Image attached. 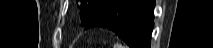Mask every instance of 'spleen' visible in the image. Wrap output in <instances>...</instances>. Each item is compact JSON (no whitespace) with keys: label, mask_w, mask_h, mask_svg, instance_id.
Instances as JSON below:
<instances>
[{"label":"spleen","mask_w":213,"mask_h":48,"mask_svg":"<svg viewBox=\"0 0 213 48\" xmlns=\"http://www.w3.org/2000/svg\"><path fill=\"white\" fill-rule=\"evenodd\" d=\"M113 48H127V47L124 46V45H122L121 43L116 42V43L113 45Z\"/></svg>","instance_id":"spleen-1"}]
</instances>
